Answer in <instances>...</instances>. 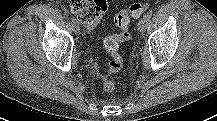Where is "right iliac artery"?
Returning <instances> with one entry per match:
<instances>
[{
    "mask_svg": "<svg viewBox=\"0 0 217 121\" xmlns=\"http://www.w3.org/2000/svg\"><path fill=\"white\" fill-rule=\"evenodd\" d=\"M70 21H71L72 24L77 22L74 17H71V18H70Z\"/></svg>",
    "mask_w": 217,
    "mask_h": 121,
    "instance_id": "right-iliac-artery-1",
    "label": "right iliac artery"
}]
</instances>
